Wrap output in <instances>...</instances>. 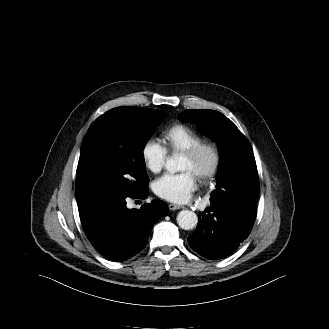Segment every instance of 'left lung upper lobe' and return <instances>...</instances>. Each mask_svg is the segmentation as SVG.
<instances>
[{
    "mask_svg": "<svg viewBox=\"0 0 329 329\" xmlns=\"http://www.w3.org/2000/svg\"><path fill=\"white\" fill-rule=\"evenodd\" d=\"M180 121L198 124L213 137L220 147V163L216 189L211 200H222L231 187L236 186L256 167L252 147L236 125L222 113L214 110H186L179 114Z\"/></svg>",
    "mask_w": 329,
    "mask_h": 329,
    "instance_id": "obj_1",
    "label": "left lung upper lobe"
}]
</instances>
